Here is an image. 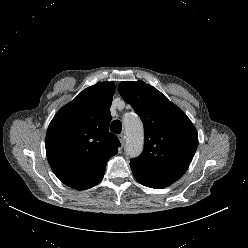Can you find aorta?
<instances>
[{
	"label": "aorta",
	"instance_id": "obj_1",
	"mask_svg": "<svg viewBox=\"0 0 248 248\" xmlns=\"http://www.w3.org/2000/svg\"><path fill=\"white\" fill-rule=\"evenodd\" d=\"M124 127L126 132L125 150L130 156H138L143 150V126L139 117L134 113L126 115Z\"/></svg>",
	"mask_w": 248,
	"mask_h": 248
}]
</instances>
